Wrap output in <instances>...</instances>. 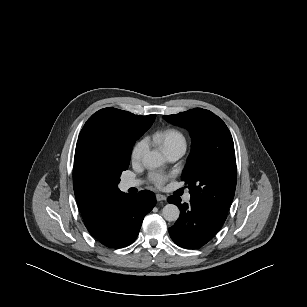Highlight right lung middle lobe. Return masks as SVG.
<instances>
[{
    "label": "right lung middle lobe",
    "instance_id": "right-lung-middle-lobe-1",
    "mask_svg": "<svg viewBox=\"0 0 307 307\" xmlns=\"http://www.w3.org/2000/svg\"><path fill=\"white\" fill-rule=\"evenodd\" d=\"M145 130L128 122H106L91 135L88 159L94 174L101 180L118 186L122 171L130 163L132 147Z\"/></svg>",
    "mask_w": 307,
    "mask_h": 307
}]
</instances>
